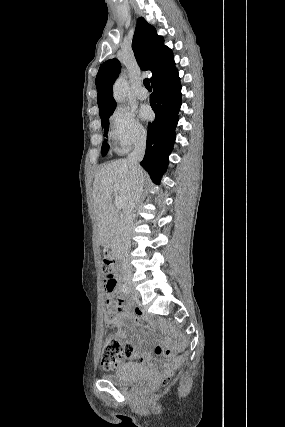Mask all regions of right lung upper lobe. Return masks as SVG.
Listing matches in <instances>:
<instances>
[{
	"label": "right lung upper lobe",
	"instance_id": "cb5924a9",
	"mask_svg": "<svg viewBox=\"0 0 285 427\" xmlns=\"http://www.w3.org/2000/svg\"><path fill=\"white\" fill-rule=\"evenodd\" d=\"M163 37L141 17L137 20L132 48L142 70H150L151 84L168 78L177 71L172 50L163 44ZM121 65L117 59L104 62L96 76L98 91L97 102L101 120L106 119L115 110L116 102L112 95V85L120 72Z\"/></svg>",
	"mask_w": 285,
	"mask_h": 427
}]
</instances>
